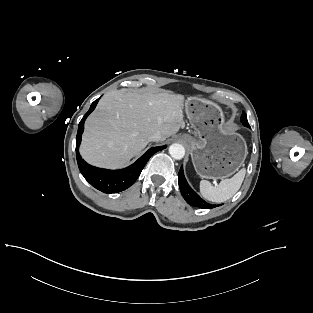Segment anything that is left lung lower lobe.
Wrapping results in <instances>:
<instances>
[{
  "label": "left lung lower lobe",
  "instance_id": "left-lung-lower-lobe-1",
  "mask_svg": "<svg viewBox=\"0 0 313 313\" xmlns=\"http://www.w3.org/2000/svg\"><path fill=\"white\" fill-rule=\"evenodd\" d=\"M178 182H179V188H180L181 194L189 205L194 206V207L204 208V209H211V208L216 207V205H212V204L205 202L189 186L184 176L183 167H181L178 173Z\"/></svg>",
  "mask_w": 313,
  "mask_h": 313
}]
</instances>
